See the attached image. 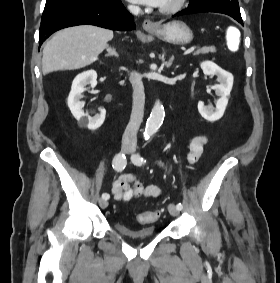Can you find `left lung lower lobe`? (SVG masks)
Returning <instances> with one entry per match:
<instances>
[{
  "mask_svg": "<svg viewBox=\"0 0 280 283\" xmlns=\"http://www.w3.org/2000/svg\"><path fill=\"white\" fill-rule=\"evenodd\" d=\"M199 12H217V13L227 14V15L233 17L235 20H237L240 24L243 25L242 18L235 17V16H232V15H230V14L224 12V11L214 9V8H209V7H188L187 9L173 15V17L186 15V14H192V13H199Z\"/></svg>",
  "mask_w": 280,
  "mask_h": 283,
  "instance_id": "0a47b994",
  "label": "left lung lower lobe"
}]
</instances>
